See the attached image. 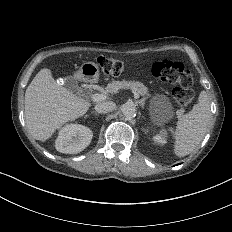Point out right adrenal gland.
<instances>
[{
	"mask_svg": "<svg viewBox=\"0 0 232 232\" xmlns=\"http://www.w3.org/2000/svg\"><path fill=\"white\" fill-rule=\"evenodd\" d=\"M92 114H96L97 116H99V113L96 111H92Z\"/></svg>",
	"mask_w": 232,
	"mask_h": 232,
	"instance_id": "right-adrenal-gland-1",
	"label": "right adrenal gland"
}]
</instances>
